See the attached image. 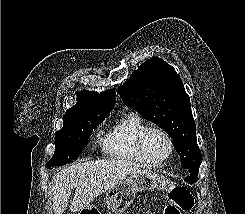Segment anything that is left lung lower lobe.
Wrapping results in <instances>:
<instances>
[{"instance_id":"1","label":"left lung lower lobe","mask_w":245,"mask_h":214,"mask_svg":"<svg viewBox=\"0 0 245 214\" xmlns=\"http://www.w3.org/2000/svg\"><path fill=\"white\" fill-rule=\"evenodd\" d=\"M197 176H198V173H191L184 180L187 183L194 184L198 180Z\"/></svg>"}]
</instances>
